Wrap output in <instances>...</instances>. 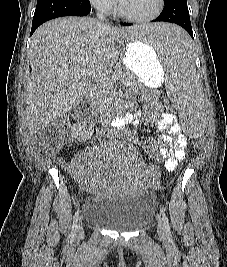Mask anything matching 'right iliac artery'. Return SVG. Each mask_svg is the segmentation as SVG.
<instances>
[{
  "instance_id": "right-iliac-artery-1",
  "label": "right iliac artery",
  "mask_w": 227,
  "mask_h": 267,
  "mask_svg": "<svg viewBox=\"0 0 227 267\" xmlns=\"http://www.w3.org/2000/svg\"><path fill=\"white\" fill-rule=\"evenodd\" d=\"M79 213L80 210L78 208V210L76 211L74 218H73V225H72V231H71V238L74 239L75 235H76V230H77V224H78V219H79Z\"/></svg>"
}]
</instances>
